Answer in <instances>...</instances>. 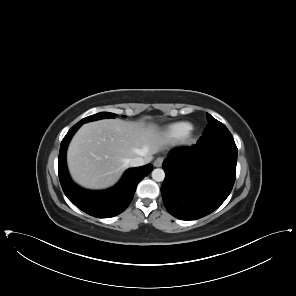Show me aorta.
Segmentation results:
<instances>
[{"instance_id":"762f6f07","label":"aorta","mask_w":296,"mask_h":296,"mask_svg":"<svg viewBox=\"0 0 296 296\" xmlns=\"http://www.w3.org/2000/svg\"><path fill=\"white\" fill-rule=\"evenodd\" d=\"M152 178L154 181L161 182L165 178V172L163 169L157 168L152 171Z\"/></svg>"}]
</instances>
